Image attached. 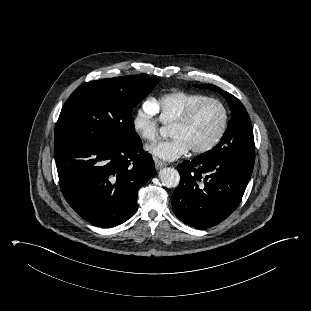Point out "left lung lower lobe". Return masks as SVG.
Segmentation results:
<instances>
[{
	"label": "left lung lower lobe",
	"mask_w": 311,
	"mask_h": 311,
	"mask_svg": "<svg viewBox=\"0 0 311 311\" xmlns=\"http://www.w3.org/2000/svg\"><path fill=\"white\" fill-rule=\"evenodd\" d=\"M254 160L252 152H234L218 157L201 155L179 164L180 184L172 196L175 215L199 229L222 222L240 203Z\"/></svg>",
	"instance_id": "0a47b994"
}]
</instances>
